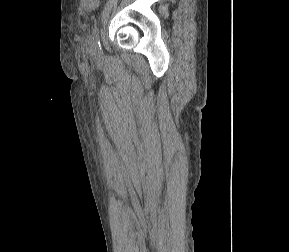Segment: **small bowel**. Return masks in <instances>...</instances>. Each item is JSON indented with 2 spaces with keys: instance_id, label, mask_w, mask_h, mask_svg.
Wrapping results in <instances>:
<instances>
[{
  "instance_id": "obj_1",
  "label": "small bowel",
  "mask_w": 289,
  "mask_h": 252,
  "mask_svg": "<svg viewBox=\"0 0 289 252\" xmlns=\"http://www.w3.org/2000/svg\"><path fill=\"white\" fill-rule=\"evenodd\" d=\"M80 4L85 11H94L98 8L100 0H80Z\"/></svg>"
}]
</instances>
